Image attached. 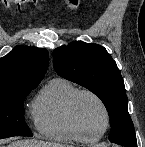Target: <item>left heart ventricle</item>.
<instances>
[{"mask_svg":"<svg viewBox=\"0 0 145 147\" xmlns=\"http://www.w3.org/2000/svg\"><path fill=\"white\" fill-rule=\"evenodd\" d=\"M76 114L83 130L88 134H97L105 126V116L98 102L89 95H82L76 103Z\"/></svg>","mask_w":145,"mask_h":147,"instance_id":"1","label":"left heart ventricle"}]
</instances>
